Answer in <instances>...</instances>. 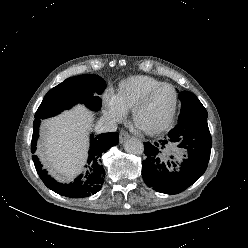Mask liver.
<instances>
[{"mask_svg": "<svg viewBox=\"0 0 248 248\" xmlns=\"http://www.w3.org/2000/svg\"><path fill=\"white\" fill-rule=\"evenodd\" d=\"M93 113L83 105L44 121L39 153L59 180H73L84 169Z\"/></svg>", "mask_w": 248, "mask_h": 248, "instance_id": "liver-1", "label": "liver"}]
</instances>
